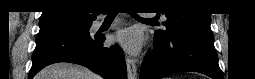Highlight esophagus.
I'll list each match as a JSON object with an SVG mask.
<instances>
[{
  "label": "esophagus",
  "mask_w": 255,
  "mask_h": 79,
  "mask_svg": "<svg viewBox=\"0 0 255 79\" xmlns=\"http://www.w3.org/2000/svg\"><path fill=\"white\" fill-rule=\"evenodd\" d=\"M126 65H127L128 78L136 79L137 78V66L134 63V61L127 57Z\"/></svg>",
  "instance_id": "esophagus-1"
}]
</instances>
